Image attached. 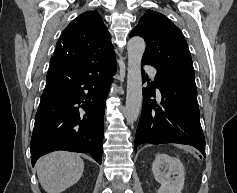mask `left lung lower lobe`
Wrapping results in <instances>:
<instances>
[{
  "label": "left lung lower lobe",
  "mask_w": 237,
  "mask_h": 193,
  "mask_svg": "<svg viewBox=\"0 0 237 193\" xmlns=\"http://www.w3.org/2000/svg\"><path fill=\"white\" fill-rule=\"evenodd\" d=\"M147 78L148 75L142 71L143 83ZM155 88L161 93L160 102L150 99L155 97ZM143 96L135 149L142 143H180L194 146L205 156L195 82L157 71L155 82L143 88Z\"/></svg>",
  "instance_id": "1"
}]
</instances>
